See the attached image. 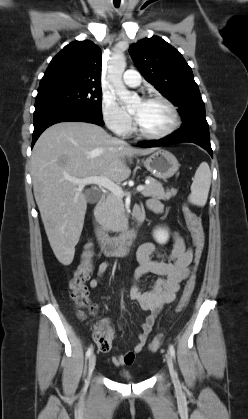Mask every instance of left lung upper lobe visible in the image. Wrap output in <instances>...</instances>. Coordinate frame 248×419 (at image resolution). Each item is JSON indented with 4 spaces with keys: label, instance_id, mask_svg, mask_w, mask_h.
Returning a JSON list of instances; mask_svg holds the SVG:
<instances>
[{
    "label": "left lung upper lobe",
    "instance_id": "1",
    "mask_svg": "<svg viewBox=\"0 0 248 419\" xmlns=\"http://www.w3.org/2000/svg\"><path fill=\"white\" fill-rule=\"evenodd\" d=\"M129 53L144 78L179 107L183 124L206 117L192 70L177 49L153 36L132 44Z\"/></svg>",
    "mask_w": 248,
    "mask_h": 419
}]
</instances>
